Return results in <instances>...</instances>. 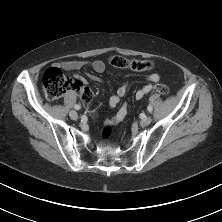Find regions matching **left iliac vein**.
Segmentation results:
<instances>
[{
  "instance_id": "obj_1",
  "label": "left iliac vein",
  "mask_w": 222,
  "mask_h": 222,
  "mask_svg": "<svg viewBox=\"0 0 222 222\" xmlns=\"http://www.w3.org/2000/svg\"><path fill=\"white\" fill-rule=\"evenodd\" d=\"M152 118L150 116H145L144 118H142V120L140 121V125L141 126H148L151 123Z\"/></svg>"
}]
</instances>
